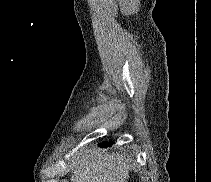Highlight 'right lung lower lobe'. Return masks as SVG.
Masks as SVG:
<instances>
[{
    "label": "right lung lower lobe",
    "mask_w": 211,
    "mask_h": 182,
    "mask_svg": "<svg viewBox=\"0 0 211 182\" xmlns=\"http://www.w3.org/2000/svg\"><path fill=\"white\" fill-rule=\"evenodd\" d=\"M112 144H113L112 142H110V143L105 142V143L99 144V146L100 147H108V146H111Z\"/></svg>",
    "instance_id": "98d812e1"
}]
</instances>
